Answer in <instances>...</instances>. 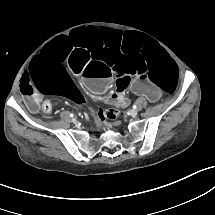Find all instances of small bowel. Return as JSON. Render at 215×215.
Segmentation results:
<instances>
[{
  "label": "small bowel",
  "instance_id": "c3829d8e",
  "mask_svg": "<svg viewBox=\"0 0 215 215\" xmlns=\"http://www.w3.org/2000/svg\"><path fill=\"white\" fill-rule=\"evenodd\" d=\"M111 99L116 102L117 104H124L125 103V98H124V94L120 91H114L111 94ZM78 102V99L76 100ZM79 103V102H78ZM29 109L32 112H37L39 109V98L38 97H33L29 100L28 103Z\"/></svg>",
  "mask_w": 215,
  "mask_h": 215
}]
</instances>
